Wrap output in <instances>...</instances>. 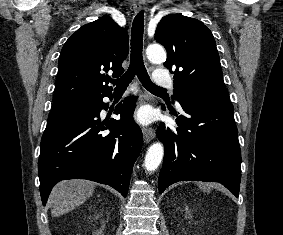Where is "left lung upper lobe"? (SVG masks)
I'll return each instance as SVG.
<instances>
[{
  "label": "left lung upper lobe",
  "instance_id": "5c2ea615",
  "mask_svg": "<svg viewBox=\"0 0 283 235\" xmlns=\"http://www.w3.org/2000/svg\"><path fill=\"white\" fill-rule=\"evenodd\" d=\"M155 40L167 50L164 66L174 73V96L178 101L231 103L213 34L202 22L166 15L157 26Z\"/></svg>",
  "mask_w": 283,
  "mask_h": 235
}]
</instances>
